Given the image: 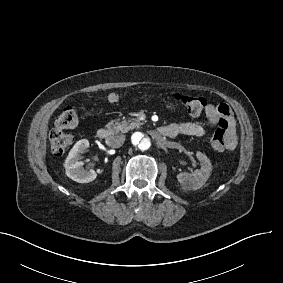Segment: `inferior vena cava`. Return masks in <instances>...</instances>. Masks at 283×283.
<instances>
[{
	"label": "inferior vena cava",
	"instance_id": "obj_1",
	"mask_svg": "<svg viewBox=\"0 0 283 283\" xmlns=\"http://www.w3.org/2000/svg\"><path fill=\"white\" fill-rule=\"evenodd\" d=\"M124 141H125L124 135L110 136L107 139V145L112 148H119L123 145Z\"/></svg>",
	"mask_w": 283,
	"mask_h": 283
}]
</instances>
